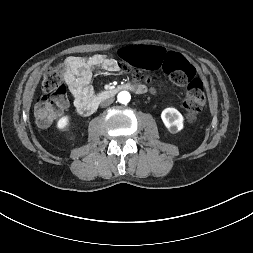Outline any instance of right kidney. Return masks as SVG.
I'll list each match as a JSON object with an SVG mask.
<instances>
[{
  "label": "right kidney",
  "mask_w": 253,
  "mask_h": 253,
  "mask_svg": "<svg viewBox=\"0 0 253 253\" xmlns=\"http://www.w3.org/2000/svg\"><path fill=\"white\" fill-rule=\"evenodd\" d=\"M69 121H70L69 116L61 117L57 122V128L61 131H66L69 126Z\"/></svg>",
  "instance_id": "ca27d5eb"
}]
</instances>
